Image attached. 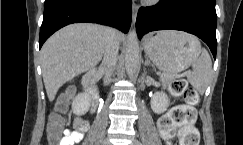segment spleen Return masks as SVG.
I'll use <instances>...</instances> for the list:
<instances>
[{
    "instance_id": "3e777b00",
    "label": "spleen",
    "mask_w": 243,
    "mask_h": 145,
    "mask_svg": "<svg viewBox=\"0 0 243 145\" xmlns=\"http://www.w3.org/2000/svg\"><path fill=\"white\" fill-rule=\"evenodd\" d=\"M200 52L201 55L194 60L193 71L187 75V79L196 91L203 94L212 75V61L207 50L202 49Z\"/></svg>"
}]
</instances>
